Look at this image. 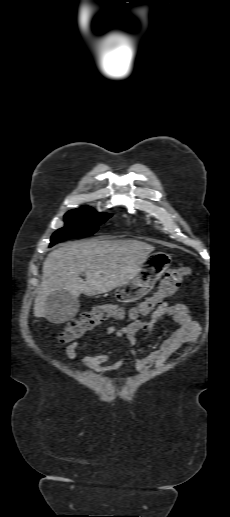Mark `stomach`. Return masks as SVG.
<instances>
[{"label": "stomach", "mask_w": 230, "mask_h": 517, "mask_svg": "<svg viewBox=\"0 0 230 517\" xmlns=\"http://www.w3.org/2000/svg\"><path fill=\"white\" fill-rule=\"evenodd\" d=\"M170 261V255L164 252L148 256L138 272L116 290V299L122 303H130L145 296L168 269Z\"/></svg>", "instance_id": "stomach-1"}]
</instances>
